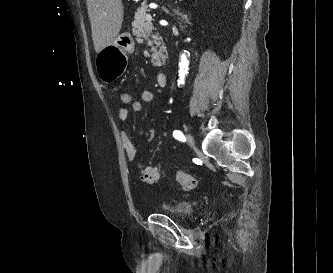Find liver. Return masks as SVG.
Returning a JSON list of instances; mask_svg holds the SVG:
<instances>
[{"mask_svg":"<svg viewBox=\"0 0 333 273\" xmlns=\"http://www.w3.org/2000/svg\"><path fill=\"white\" fill-rule=\"evenodd\" d=\"M92 39L96 53L112 44L123 22L122 0H87Z\"/></svg>","mask_w":333,"mask_h":273,"instance_id":"6515ba94","label":"liver"}]
</instances>
